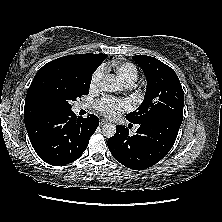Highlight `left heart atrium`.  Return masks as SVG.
Returning <instances> with one entry per match:
<instances>
[{"label":"left heart atrium","mask_w":222,"mask_h":222,"mask_svg":"<svg viewBox=\"0 0 222 222\" xmlns=\"http://www.w3.org/2000/svg\"><path fill=\"white\" fill-rule=\"evenodd\" d=\"M125 107L124 102L113 98H103L97 103L98 111L109 118L115 117Z\"/></svg>","instance_id":"1"}]
</instances>
